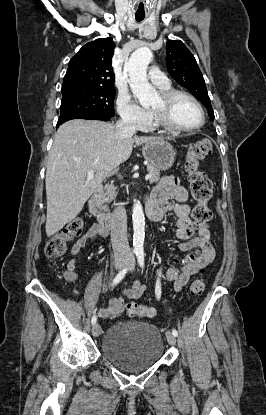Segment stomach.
Returning a JSON list of instances; mask_svg holds the SVG:
<instances>
[{"label":"stomach","mask_w":266,"mask_h":415,"mask_svg":"<svg viewBox=\"0 0 266 415\" xmlns=\"http://www.w3.org/2000/svg\"><path fill=\"white\" fill-rule=\"evenodd\" d=\"M142 153L144 158L158 170L172 167L176 155L172 145L164 140L147 142Z\"/></svg>","instance_id":"stomach-1"}]
</instances>
